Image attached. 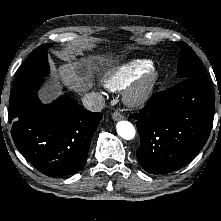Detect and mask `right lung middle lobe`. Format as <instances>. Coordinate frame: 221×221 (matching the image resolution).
Here are the masks:
<instances>
[{"label": "right lung middle lobe", "instance_id": "dd1d6c3e", "mask_svg": "<svg viewBox=\"0 0 221 221\" xmlns=\"http://www.w3.org/2000/svg\"><path fill=\"white\" fill-rule=\"evenodd\" d=\"M50 46L52 44H43L30 54L17 75L13 90L42 79L48 74L47 49Z\"/></svg>", "mask_w": 221, "mask_h": 221}]
</instances>
